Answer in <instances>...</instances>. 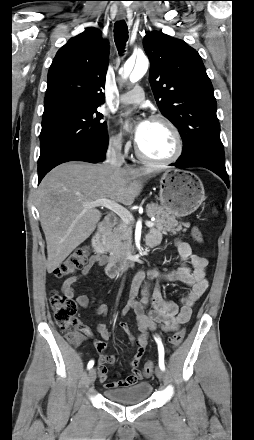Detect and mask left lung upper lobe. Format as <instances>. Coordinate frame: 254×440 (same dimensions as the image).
Here are the masks:
<instances>
[{"label":"left lung upper lobe","mask_w":254,"mask_h":440,"mask_svg":"<svg viewBox=\"0 0 254 440\" xmlns=\"http://www.w3.org/2000/svg\"><path fill=\"white\" fill-rule=\"evenodd\" d=\"M143 47L157 105L182 137L181 157H192L207 147L223 149L213 86L198 52L161 32H148Z\"/></svg>","instance_id":"left-lung-upper-lobe-1"}]
</instances>
